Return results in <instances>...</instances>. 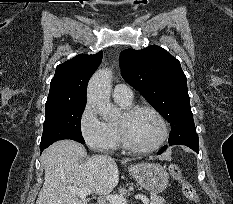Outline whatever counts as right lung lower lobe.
Masks as SVG:
<instances>
[{
	"label": "right lung lower lobe",
	"instance_id": "1",
	"mask_svg": "<svg viewBox=\"0 0 233 204\" xmlns=\"http://www.w3.org/2000/svg\"><path fill=\"white\" fill-rule=\"evenodd\" d=\"M45 148H40L41 151H43Z\"/></svg>",
	"mask_w": 233,
	"mask_h": 204
}]
</instances>
